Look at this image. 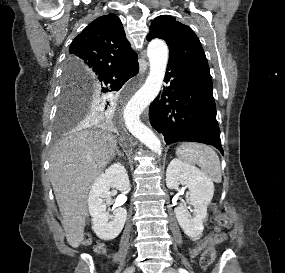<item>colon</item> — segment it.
Wrapping results in <instances>:
<instances>
[{
  "instance_id": "1",
  "label": "colon",
  "mask_w": 285,
  "mask_h": 273,
  "mask_svg": "<svg viewBox=\"0 0 285 273\" xmlns=\"http://www.w3.org/2000/svg\"><path fill=\"white\" fill-rule=\"evenodd\" d=\"M215 236H219L222 232L229 228L231 225V220L221 211L215 210ZM91 242L90 237L84 238V243L89 244ZM98 253H103L105 251V246L101 243L97 244L95 247ZM216 259V250L214 246V242L212 241L208 247L203 251L200 258V265L202 268L210 267Z\"/></svg>"
}]
</instances>
